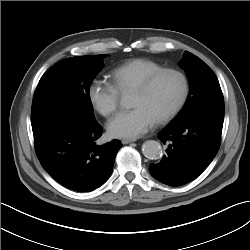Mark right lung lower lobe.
<instances>
[{
  "instance_id": "1",
  "label": "right lung lower lobe",
  "mask_w": 250,
  "mask_h": 250,
  "mask_svg": "<svg viewBox=\"0 0 250 250\" xmlns=\"http://www.w3.org/2000/svg\"><path fill=\"white\" fill-rule=\"evenodd\" d=\"M101 135L97 122L41 132L34 135L36 154L42 167L62 186L90 192L108 180L122 146L118 140L97 145Z\"/></svg>"
}]
</instances>
